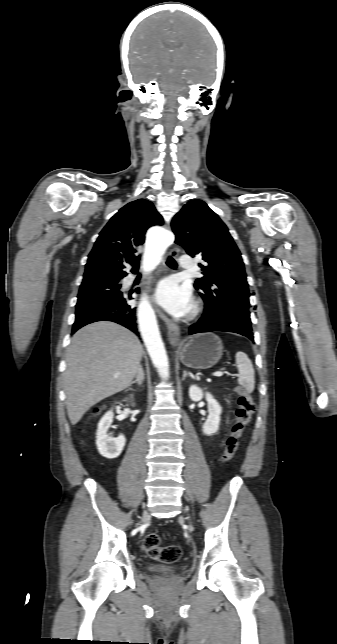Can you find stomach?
<instances>
[{
  "label": "stomach",
  "instance_id": "obj_1",
  "mask_svg": "<svg viewBox=\"0 0 337 644\" xmlns=\"http://www.w3.org/2000/svg\"><path fill=\"white\" fill-rule=\"evenodd\" d=\"M180 361L187 367L209 369L221 359L223 344L213 333L197 334L177 349Z\"/></svg>",
  "mask_w": 337,
  "mask_h": 644
}]
</instances>
